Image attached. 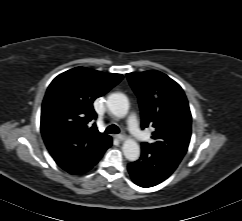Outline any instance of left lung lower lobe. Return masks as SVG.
<instances>
[{"mask_svg": "<svg viewBox=\"0 0 242 221\" xmlns=\"http://www.w3.org/2000/svg\"><path fill=\"white\" fill-rule=\"evenodd\" d=\"M139 160L128 164V171L134 183L141 187L155 186L167 179L177 168V162L167 154L151 150L142 145Z\"/></svg>", "mask_w": 242, "mask_h": 221, "instance_id": "left-lung-lower-lobe-1", "label": "left lung lower lobe"}]
</instances>
